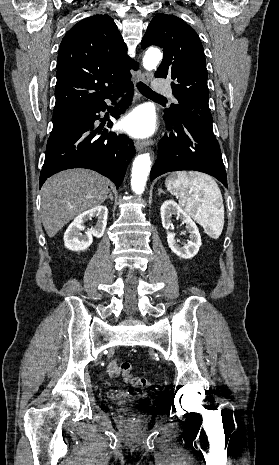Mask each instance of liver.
Masks as SVG:
<instances>
[{"label": "liver", "mask_w": 279, "mask_h": 465, "mask_svg": "<svg viewBox=\"0 0 279 465\" xmlns=\"http://www.w3.org/2000/svg\"><path fill=\"white\" fill-rule=\"evenodd\" d=\"M109 193L108 180L88 169H68L50 177L42 186L41 219L54 237L82 212L101 205Z\"/></svg>", "instance_id": "6515ba94"}]
</instances>
